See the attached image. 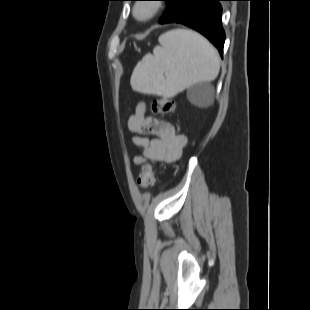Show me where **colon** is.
<instances>
[{
    "label": "colon",
    "instance_id": "obj_1",
    "mask_svg": "<svg viewBox=\"0 0 310 310\" xmlns=\"http://www.w3.org/2000/svg\"><path fill=\"white\" fill-rule=\"evenodd\" d=\"M174 102L171 99L160 96L151 102V110L155 114L169 115L174 111ZM155 181V170L154 167L149 163L145 162L138 176V185L142 188H147L153 185Z\"/></svg>",
    "mask_w": 310,
    "mask_h": 310
}]
</instances>
